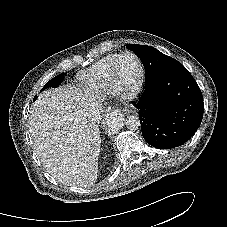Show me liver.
<instances>
[{
  "label": "liver",
  "mask_w": 227,
  "mask_h": 227,
  "mask_svg": "<svg viewBox=\"0 0 227 227\" xmlns=\"http://www.w3.org/2000/svg\"><path fill=\"white\" fill-rule=\"evenodd\" d=\"M101 112L97 95L69 87L46 90L34 102L29 132L43 166L58 182L78 187L95 183Z\"/></svg>",
  "instance_id": "6515ba94"
}]
</instances>
